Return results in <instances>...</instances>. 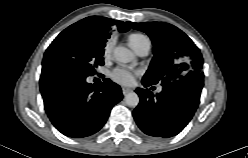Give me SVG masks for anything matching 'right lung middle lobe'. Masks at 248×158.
Masks as SVG:
<instances>
[{
  "instance_id": "obj_1",
  "label": "right lung middle lobe",
  "mask_w": 248,
  "mask_h": 158,
  "mask_svg": "<svg viewBox=\"0 0 248 158\" xmlns=\"http://www.w3.org/2000/svg\"><path fill=\"white\" fill-rule=\"evenodd\" d=\"M105 44L87 38L77 27L71 25L62 31L46 50L41 76L69 75L86 78L103 65Z\"/></svg>"
}]
</instances>
